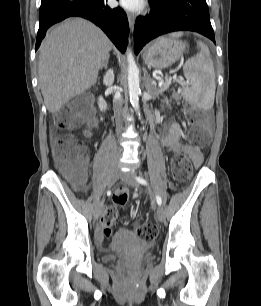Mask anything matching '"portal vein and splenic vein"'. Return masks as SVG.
<instances>
[{"label":"portal vein and splenic vein","instance_id":"portal-vein-and-splenic-vein-1","mask_svg":"<svg viewBox=\"0 0 261 306\" xmlns=\"http://www.w3.org/2000/svg\"><path fill=\"white\" fill-rule=\"evenodd\" d=\"M168 81L167 85H169V83L171 82L170 79H166ZM153 84H155V82L153 81Z\"/></svg>","mask_w":261,"mask_h":306}]
</instances>
